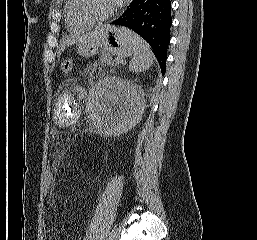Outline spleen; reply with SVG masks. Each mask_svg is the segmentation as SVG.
Masks as SVG:
<instances>
[{"instance_id":"obj_1","label":"spleen","mask_w":257,"mask_h":240,"mask_svg":"<svg viewBox=\"0 0 257 240\" xmlns=\"http://www.w3.org/2000/svg\"><path fill=\"white\" fill-rule=\"evenodd\" d=\"M131 61L129 69L132 72L139 73L148 70L154 63V55L147 42L133 31L125 29Z\"/></svg>"}]
</instances>
